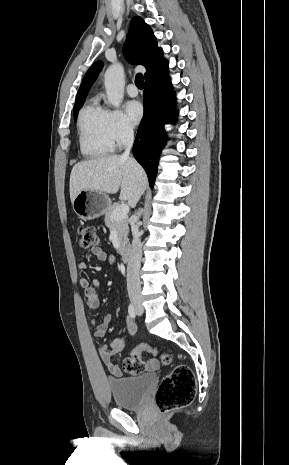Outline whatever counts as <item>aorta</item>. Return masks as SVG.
Instances as JSON below:
<instances>
[{
  "label": "aorta",
  "instance_id": "762f6f07",
  "mask_svg": "<svg viewBox=\"0 0 289 465\" xmlns=\"http://www.w3.org/2000/svg\"><path fill=\"white\" fill-rule=\"evenodd\" d=\"M124 69L120 64L108 67L104 75V84L108 103L119 107L124 96Z\"/></svg>",
  "mask_w": 289,
  "mask_h": 465
}]
</instances>
